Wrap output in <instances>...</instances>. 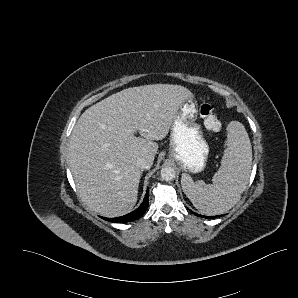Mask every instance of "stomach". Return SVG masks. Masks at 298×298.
Wrapping results in <instances>:
<instances>
[{
    "label": "stomach",
    "instance_id": "obj_1",
    "mask_svg": "<svg viewBox=\"0 0 298 298\" xmlns=\"http://www.w3.org/2000/svg\"><path fill=\"white\" fill-rule=\"evenodd\" d=\"M197 118L198 103L190 97L181 102L170 127V157L184 172H201L209 156V145Z\"/></svg>",
    "mask_w": 298,
    "mask_h": 298
}]
</instances>
